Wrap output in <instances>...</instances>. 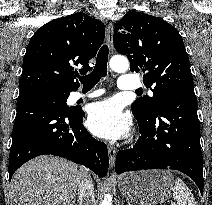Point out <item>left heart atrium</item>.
<instances>
[{"instance_id": "left-heart-atrium-1", "label": "left heart atrium", "mask_w": 212, "mask_h": 205, "mask_svg": "<svg viewBox=\"0 0 212 205\" xmlns=\"http://www.w3.org/2000/svg\"><path fill=\"white\" fill-rule=\"evenodd\" d=\"M87 127L98 137L119 139L129 133L131 120L116 100L108 99L90 106Z\"/></svg>"}]
</instances>
